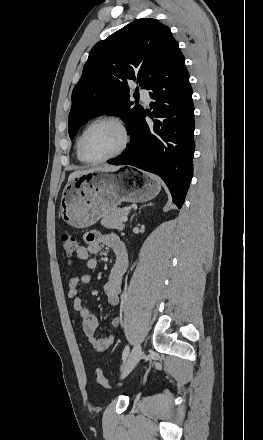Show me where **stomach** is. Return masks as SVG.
<instances>
[{"mask_svg": "<svg viewBox=\"0 0 263 440\" xmlns=\"http://www.w3.org/2000/svg\"><path fill=\"white\" fill-rule=\"evenodd\" d=\"M160 190V180L148 173L90 172L68 180L60 201V217L72 227L86 228L122 202L149 201Z\"/></svg>", "mask_w": 263, "mask_h": 440, "instance_id": "stomach-1", "label": "stomach"}]
</instances>
